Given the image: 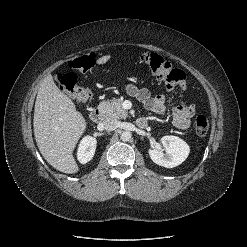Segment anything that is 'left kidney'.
I'll return each instance as SVG.
<instances>
[{
    "instance_id": "1",
    "label": "left kidney",
    "mask_w": 247,
    "mask_h": 247,
    "mask_svg": "<svg viewBox=\"0 0 247 247\" xmlns=\"http://www.w3.org/2000/svg\"><path fill=\"white\" fill-rule=\"evenodd\" d=\"M161 142L165 153L160 147H154L148 150L151 160L157 165L173 168L186 160L190 153L188 144L177 136H163Z\"/></svg>"
}]
</instances>
